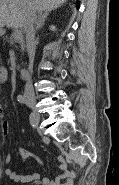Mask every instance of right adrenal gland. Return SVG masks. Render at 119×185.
Returning a JSON list of instances; mask_svg holds the SVG:
<instances>
[{"label":"right adrenal gland","mask_w":119,"mask_h":185,"mask_svg":"<svg viewBox=\"0 0 119 185\" xmlns=\"http://www.w3.org/2000/svg\"><path fill=\"white\" fill-rule=\"evenodd\" d=\"M49 12L48 11H38L37 12V17L35 20L36 24V30L38 31L42 24L44 23L45 19L47 18Z\"/></svg>","instance_id":"2a0ac1e0"}]
</instances>
